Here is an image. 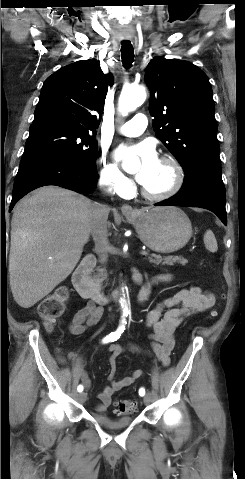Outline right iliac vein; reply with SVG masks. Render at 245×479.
Returning a JSON list of instances; mask_svg holds the SVG:
<instances>
[{
    "mask_svg": "<svg viewBox=\"0 0 245 479\" xmlns=\"http://www.w3.org/2000/svg\"><path fill=\"white\" fill-rule=\"evenodd\" d=\"M77 398L80 403H84L86 401L87 395L86 393L82 392L77 395Z\"/></svg>",
    "mask_w": 245,
    "mask_h": 479,
    "instance_id": "right-iliac-vein-1",
    "label": "right iliac vein"
}]
</instances>
